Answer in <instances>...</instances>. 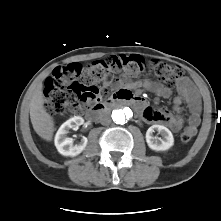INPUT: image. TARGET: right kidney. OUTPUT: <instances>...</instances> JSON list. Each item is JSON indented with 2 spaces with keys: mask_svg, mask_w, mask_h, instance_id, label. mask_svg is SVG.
I'll return each mask as SVG.
<instances>
[{
  "mask_svg": "<svg viewBox=\"0 0 221 221\" xmlns=\"http://www.w3.org/2000/svg\"><path fill=\"white\" fill-rule=\"evenodd\" d=\"M84 123V119L80 116H75L64 122L58 129L55 136V146L58 152L64 156H77L87 145V138L83 137L81 142L73 144V139L68 137L70 129H76Z\"/></svg>",
  "mask_w": 221,
  "mask_h": 221,
  "instance_id": "obj_1",
  "label": "right kidney"
}]
</instances>
